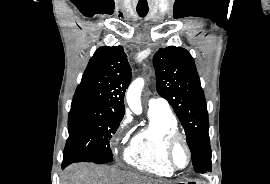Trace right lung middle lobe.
I'll return each instance as SVG.
<instances>
[{"mask_svg":"<svg viewBox=\"0 0 270 184\" xmlns=\"http://www.w3.org/2000/svg\"><path fill=\"white\" fill-rule=\"evenodd\" d=\"M121 118L101 113L83 102H72L68 116V132L62 166L87 161L111 162L109 140L119 127Z\"/></svg>","mask_w":270,"mask_h":184,"instance_id":"1","label":"right lung middle lobe"}]
</instances>
